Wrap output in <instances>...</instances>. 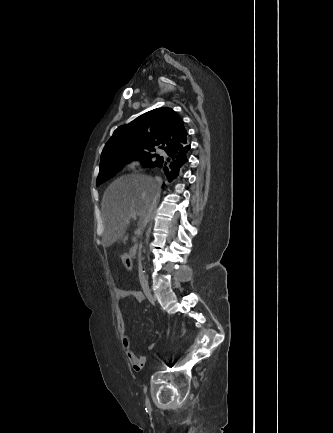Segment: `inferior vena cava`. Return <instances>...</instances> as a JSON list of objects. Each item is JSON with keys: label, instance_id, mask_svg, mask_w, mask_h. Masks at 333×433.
Masks as SVG:
<instances>
[{"label": "inferior vena cava", "instance_id": "inferior-vena-cava-1", "mask_svg": "<svg viewBox=\"0 0 333 433\" xmlns=\"http://www.w3.org/2000/svg\"><path fill=\"white\" fill-rule=\"evenodd\" d=\"M155 182H156V190H157V193L159 194L160 193L161 184H162V180L159 177H156L155 178ZM149 218H150V214H148L145 217V219H144V225L145 226L147 225V223L149 221Z\"/></svg>", "mask_w": 333, "mask_h": 433}]
</instances>
